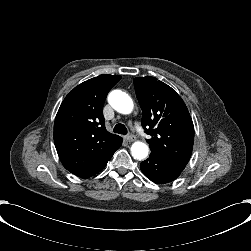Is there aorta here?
Masks as SVG:
<instances>
[{
	"instance_id": "762f6f07",
	"label": "aorta",
	"mask_w": 251,
	"mask_h": 251,
	"mask_svg": "<svg viewBox=\"0 0 251 251\" xmlns=\"http://www.w3.org/2000/svg\"><path fill=\"white\" fill-rule=\"evenodd\" d=\"M109 103L117 112L123 115L131 114L134 109V103L131 97L120 90H115L110 93ZM130 150L134 159L143 160L148 155L149 147L142 141H135L131 145Z\"/></svg>"
}]
</instances>
